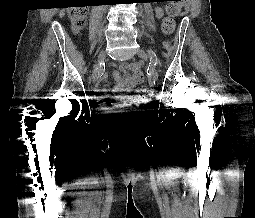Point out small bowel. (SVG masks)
Here are the masks:
<instances>
[{
    "label": "small bowel",
    "mask_w": 255,
    "mask_h": 218,
    "mask_svg": "<svg viewBox=\"0 0 255 218\" xmlns=\"http://www.w3.org/2000/svg\"><path fill=\"white\" fill-rule=\"evenodd\" d=\"M156 15L158 18L162 17L163 11L161 8L156 9ZM115 68L116 70L113 72V78L116 81L113 88L115 92L131 91L143 80L140 63L128 64L122 62L115 65ZM128 70H130L132 74H128ZM101 101L106 102L107 98L102 96Z\"/></svg>",
    "instance_id": "small-bowel-1"
}]
</instances>
